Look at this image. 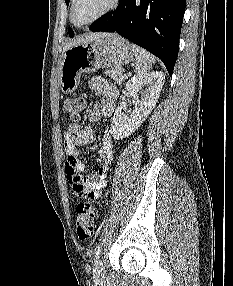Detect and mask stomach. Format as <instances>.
Listing matches in <instances>:
<instances>
[{
	"label": "stomach",
	"mask_w": 233,
	"mask_h": 286,
	"mask_svg": "<svg viewBox=\"0 0 233 286\" xmlns=\"http://www.w3.org/2000/svg\"><path fill=\"white\" fill-rule=\"evenodd\" d=\"M133 57L130 43L116 34H105L70 47L63 53L59 65L61 91L73 92L80 83L82 73L122 67L130 63Z\"/></svg>",
	"instance_id": "stomach-1"
}]
</instances>
